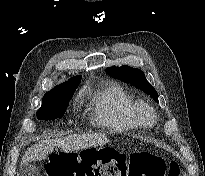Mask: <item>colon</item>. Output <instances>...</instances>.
I'll use <instances>...</instances> for the list:
<instances>
[{
  "instance_id": "obj_1",
  "label": "colon",
  "mask_w": 205,
  "mask_h": 176,
  "mask_svg": "<svg viewBox=\"0 0 205 176\" xmlns=\"http://www.w3.org/2000/svg\"><path fill=\"white\" fill-rule=\"evenodd\" d=\"M48 176H179L180 168L172 161L167 168L160 156L140 151L126 160L106 149L80 153L60 151L49 156Z\"/></svg>"
}]
</instances>
